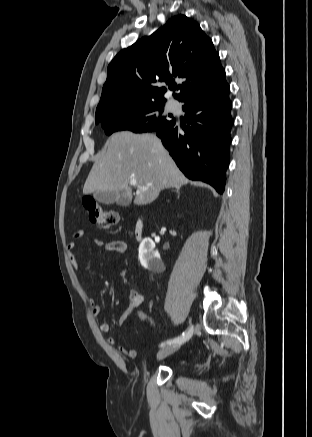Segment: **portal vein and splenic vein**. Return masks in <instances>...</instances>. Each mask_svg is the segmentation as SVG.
<instances>
[{
	"mask_svg": "<svg viewBox=\"0 0 312 437\" xmlns=\"http://www.w3.org/2000/svg\"><path fill=\"white\" fill-rule=\"evenodd\" d=\"M130 184L131 185H136L137 184V182H136V180H131L130 181ZM148 187H139V189H141V190H146Z\"/></svg>",
	"mask_w": 312,
	"mask_h": 437,
	"instance_id": "portal-vein-and-splenic-vein-1",
	"label": "portal vein and splenic vein"
}]
</instances>
